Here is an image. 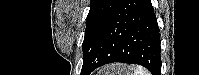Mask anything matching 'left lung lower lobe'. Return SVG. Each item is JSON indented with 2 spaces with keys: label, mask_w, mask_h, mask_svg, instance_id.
<instances>
[{
  "label": "left lung lower lobe",
  "mask_w": 199,
  "mask_h": 75,
  "mask_svg": "<svg viewBox=\"0 0 199 75\" xmlns=\"http://www.w3.org/2000/svg\"><path fill=\"white\" fill-rule=\"evenodd\" d=\"M112 62L139 64L161 74L160 30L150 0H122L81 75Z\"/></svg>",
  "instance_id": "1"
}]
</instances>
